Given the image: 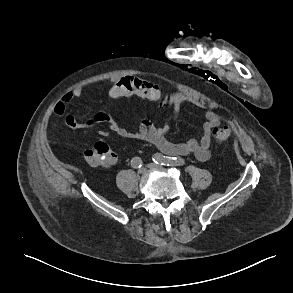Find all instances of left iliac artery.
<instances>
[{
  "label": "left iliac artery",
  "instance_id": "44dca946",
  "mask_svg": "<svg viewBox=\"0 0 293 293\" xmlns=\"http://www.w3.org/2000/svg\"><path fill=\"white\" fill-rule=\"evenodd\" d=\"M152 160L160 165H165V166H180L185 164L184 159L182 158H176V157H167L163 156L160 153H156L153 155Z\"/></svg>",
  "mask_w": 293,
  "mask_h": 293
}]
</instances>
